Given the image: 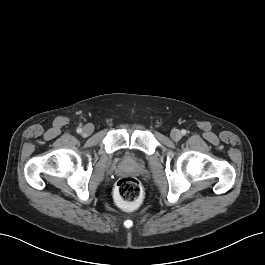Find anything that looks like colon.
<instances>
[{
  "mask_svg": "<svg viewBox=\"0 0 265 265\" xmlns=\"http://www.w3.org/2000/svg\"><path fill=\"white\" fill-rule=\"evenodd\" d=\"M117 199L124 204H135L142 196V187L133 177L121 178L115 187Z\"/></svg>",
  "mask_w": 265,
  "mask_h": 265,
  "instance_id": "5ec220e1",
  "label": "colon"
}]
</instances>
